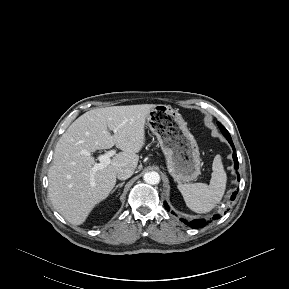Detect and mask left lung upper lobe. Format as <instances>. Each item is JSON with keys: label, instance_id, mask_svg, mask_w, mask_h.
I'll list each match as a JSON object with an SVG mask.
<instances>
[{"label": "left lung upper lobe", "instance_id": "1", "mask_svg": "<svg viewBox=\"0 0 289 289\" xmlns=\"http://www.w3.org/2000/svg\"><path fill=\"white\" fill-rule=\"evenodd\" d=\"M217 124H218L219 129L223 133V135H229V132L226 130V128L221 123L218 122Z\"/></svg>", "mask_w": 289, "mask_h": 289}]
</instances>
